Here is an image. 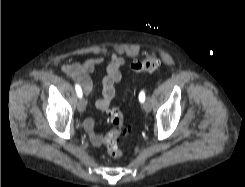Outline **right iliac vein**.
I'll return each instance as SVG.
<instances>
[{
	"instance_id": "obj_1",
	"label": "right iliac vein",
	"mask_w": 245,
	"mask_h": 187,
	"mask_svg": "<svg viewBox=\"0 0 245 187\" xmlns=\"http://www.w3.org/2000/svg\"><path fill=\"white\" fill-rule=\"evenodd\" d=\"M79 112H84L86 109V100L84 98L80 99L77 104Z\"/></svg>"
}]
</instances>
